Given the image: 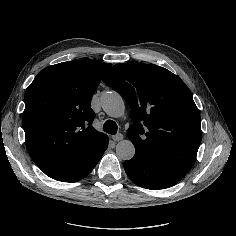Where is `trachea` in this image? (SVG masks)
<instances>
[{"mask_svg":"<svg viewBox=\"0 0 236 236\" xmlns=\"http://www.w3.org/2000/svg\"><path fill=\"white\" fill-rule=\"evenodd\" d=\"M103 130L109 134L117 133V124L115 121L107 120L103 125Z\"/></svg>","mask_w":236,"mask_h":236,"instance_id":"1","label":"trachea"}]
</instances>
